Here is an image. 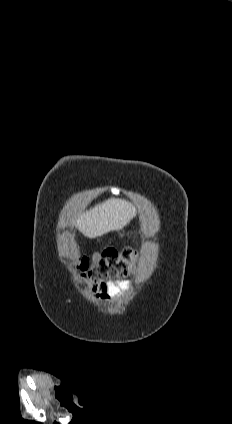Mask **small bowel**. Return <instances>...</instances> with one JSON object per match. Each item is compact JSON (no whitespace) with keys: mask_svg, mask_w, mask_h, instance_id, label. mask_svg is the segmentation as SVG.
Returning <instances> with one entry per match:
<instances>
[{"mask_svg":"<svg viewBox=\"0 0 232 424\" xmlns=\"http://www.w3.org/2000/svg\"><path fill=\"white\" fill-rule=\"evenodd\" d=\"M129 287L127 282L109 281L92 284L89 288L93 291L96 300L103 304H110L112 301H116Z\"/></svg>","mask_w":232,"mask_h":424,"instance_id":"small-bowel-1","label":"small bowel"}]
</instances>
